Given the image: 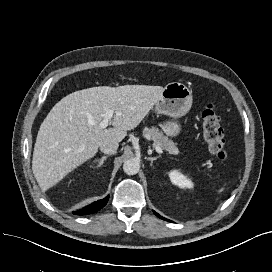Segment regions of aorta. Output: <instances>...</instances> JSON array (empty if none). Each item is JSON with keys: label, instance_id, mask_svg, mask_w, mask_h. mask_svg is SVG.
I'll list each match as a JSON object with an SVG mask.
<instances>
[{"label": "aorta", "instance_id": "1", "mask_svg": "<svg viewBox=\"0 0 272 272\" xmlns=\"http://www.w3.org/2000/svg\"><path fill=\"white\" fill-rule=\"evenodd\" d=\"M140 169V162L136 159H128L123 164V170L128 175H135Z\"/></svg>", "mask_w": 272, "mask_h": 272}]
</instances>
